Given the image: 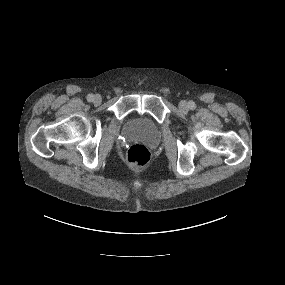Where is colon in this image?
<instances>
[{"instance_id":"1","label":"colon","mask_w":285,"mask_h":285,"mask_svg":"<svg viewBox=\"0 0 285 285\" xmlns=\"http://www.w3.org/2000/svg\"><path fill=\"white\" fill-rule=\"evenodd\" d=\"M149 149L142 144H133L126 156L127 163L134 168L144 166L150 159Z\"/></svg>"}]
</instances>
